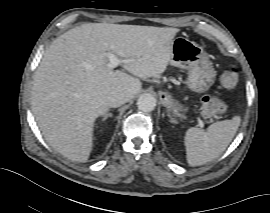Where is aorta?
<instances>
[{"instance_id": "aorta-1", "label": "aorta", "mask_w": 270, "mask_h": 213, "mask_svg": "<svg viewBox=\"0 0 270 213\" xmlns=\"http://www.w3.org/2000/svg\"><path fill=\"white\" fill-rule=\"evenodd\" d=\"M137 106L144 112L153 111L156 107V99L151 94H142L137 100Z\"/></svg>"}]
</instances>
